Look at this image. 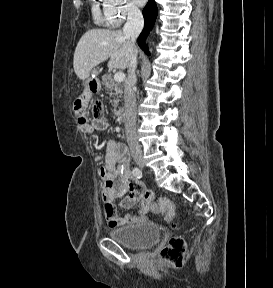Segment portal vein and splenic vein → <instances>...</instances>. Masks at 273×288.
<instances>
[{"instance_id": "portal-vein-and-splenic-vein-1", "label": "portal vein and splenic vein", "mask_w": 273, "mask_h": 288, "mask_svg": "<svg viewBox=\"0 0 273 288\" xmlns=\"http://www.w3.org/2000/svg\"><path fill=\"white\" fill-rule=\"evenodd\" d=\"M125 79V74L123 72H117L114 75V80L116 82H122Z\"/></svg>"}]
</instances>
